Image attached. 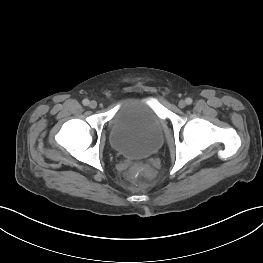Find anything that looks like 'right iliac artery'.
I'll list each match as a JSON object with an SVG mask.
<instances>
[{
  "label": "right iliac artery",
  "mask_w": 263,
  "mask_h": 263,
  "mask_svg": "<svg viewBox=\"0 0 263 263\" xmlns=\"http://www.w3.org/2000/svg\"><path fill=\"white\" fill-rule=\"evenodd\" d=\"M82 103H83V105L87 106V105H89V100L88 99H84L82 101Z\"/></svg>",
  "instance_id": "obj_1"
}]
</instances>
